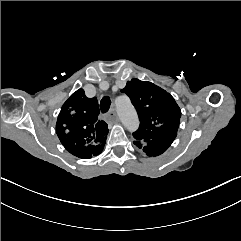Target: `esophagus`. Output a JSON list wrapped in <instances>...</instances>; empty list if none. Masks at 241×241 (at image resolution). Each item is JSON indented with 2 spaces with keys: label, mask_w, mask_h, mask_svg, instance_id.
<instances>
[{
  "label": "esophagus",
  "mask_w": 241,
  "mask_h": 241,
  "mask_svg": "<svg viewBox=\"0 0 241 241\" xmlns=\"http://www.w3.org/2000/svg\"><path fill=\"white\" fill-rule=\"evenodd\" d=\"M106 117H108V118H110V119H112L114 121H118L119 120L118 115H117V113H116L114 108L110 109V111L108 112Z\"/></svg>",
  "instance_id": "1"
}]
</instances>
